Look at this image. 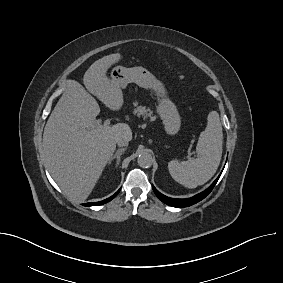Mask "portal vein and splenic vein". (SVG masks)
I'll return each mask as SVG.
<instances>
[{
	"mask_svg": "<svg viewBox=\"0 0 283 283\" xmlns=\"http://www.w3.org/2000/svg\"><path fill=\"white\" fill-rule=\"evenodd\" d=\"M101 126V120H96L94 127H99ZM103 126L109 127L110 126V119L104 120Z\"/></svg>",
	"mask_w": 283,
	"mask_h": 283,
	"instance_id": "obj_1",
	"label": "portal vein and splenic vein"
}]
</instances>
